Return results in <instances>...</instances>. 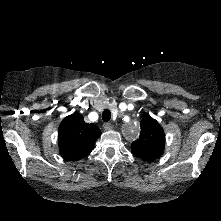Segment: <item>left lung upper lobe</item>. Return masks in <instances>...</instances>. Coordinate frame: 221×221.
Segmentation results:
<instances>
[{
  "label": "left lung upper lobe",
  "mask_w": 221,
  "mask_h": 221,
  "mask_svg": "<svg viewBox=\"0 0 221 221\" xmlns=\"http://www.w3.org/2000/svg\"><path fill=\"white\" fill-rule=\"evenodd\" d=\"M165 135L160 124L149 115L141 121V134L132 143L131 152L146 161L158 159L164 152Z\"/></svg>",
  "instance_id": "obj_1"
}]
</instances>
